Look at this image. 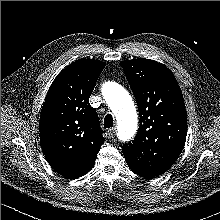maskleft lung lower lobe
<instances>
[{"instance_id": "0a47b994", "label": "left lung lower lobe", "mask_w": 220, "mask_h": 220, "mask_svg": "<svg viewBox=\"0 0 220 220\" xmlns=\"http://www.w3.org/2000/svg\"><path fill=\"white\" fill-rule=\"evenodd\" d=\"M139 175H141V176H143V177H145V178H154V177H156V176L144 175V174H139Z\"/></svg>"}]
</instances>
